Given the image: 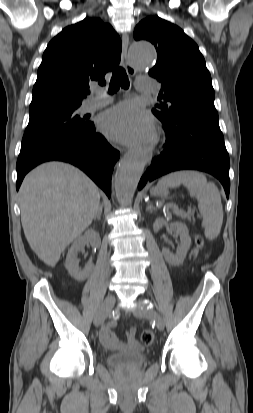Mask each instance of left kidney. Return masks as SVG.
Returning a JSON list of instances; mask_svg holds the SVG:
<instances>
[{
  "label": "left kidney",
  "instance_id": "obj_1",
  "mask_svg": "<svg viewBox=\"0 0 253 413\" xmlns=\"http://www.w3.org/2000/svg\"><path fill=\"white\" fill-rule=\"evenodd\" d=\"M168 225V223L162 219L157 218L153 224V229L158 232L163 226ZM170 229L178 236H180V246L177 249L176 254L171 253L168 249H163L162 253L168 263L174 266H178L183 263L187 252L191 245V238L189 236L188 228L185 224L181 222L170 223Z\"/></svg>",
  "mask_w": 253,
  "mask_h": 413
}]
</instances>
